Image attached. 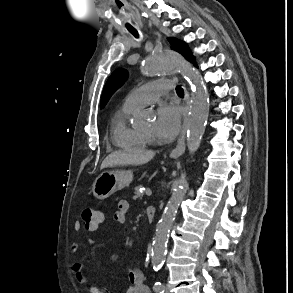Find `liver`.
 <instances>
[{
    "instance_id": "6515ba94",
    "label": "liver",
    "mask_w": 293,
    "mask_h": 293,
    "mask_svg": "<svg viewBox=\"0 0 293 293\" xmlns=\"http://www.w3.org/2000/svg\"><path fill=\"white\" fill-rule=\"evenodd\" d=\"M155 153L153 151H138L127 153L116 151L108 155L101 164V169L123 166V165H142L148 163Z\"/></svg>"
}]
</instances>
